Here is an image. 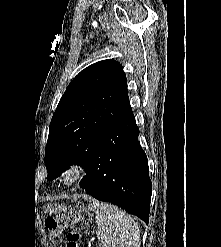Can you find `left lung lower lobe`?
Segmentation results:
<instances>
[{
  "label": "left lung lower lobe",
  "mask_w": 221,
  "mask_h": 247,
  "mask_svg": "<svg viewBox=\"0 0 221 247\" xmlns=\"http://www.w3.org/2000/svg\"><path fill=\"white\" fill-rule=\"evenodd\" d=\"M138 135L133 113L110 125L85 168L80 187L148 224L152 187Z\"/></svg>",
  "instance_id": "obj_1"
}]
</instances>
